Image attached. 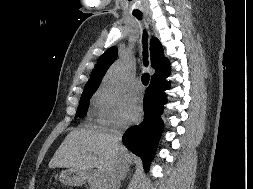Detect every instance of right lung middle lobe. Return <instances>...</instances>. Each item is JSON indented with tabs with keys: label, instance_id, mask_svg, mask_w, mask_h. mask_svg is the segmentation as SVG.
Here are the masks:
<instances>
[{
	"label": "right lung middle lobe",
	"instance_id": "right-lung-middle-lobe-1",
	"mask_svg": "<svg viewBox=\"0 0 253 189\" xmlns=\"http://www.w3.org/2000/svg\"><path fill=\"white\" fill-rule=\"evenodd\" d=\"M96 90L83 91L80 103L76 112V117H84L86 115L87 109L89 107V100Z\"/></svg>",
	"mask_w": 253,
	"mask_h": 189
}]
</instances>
